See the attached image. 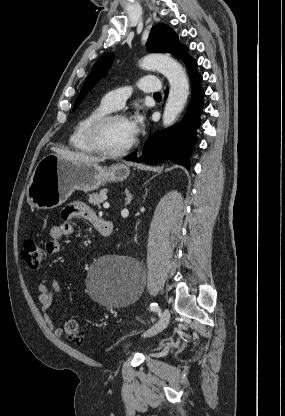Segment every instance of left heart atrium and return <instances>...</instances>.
<instances>
[{
  "mask_svg": "<svg viewBox=\"0 0 285 416\" xmlns=\"http://www.w3.org/2000/svg\"><path fill=\"white\" fill-rule=\"evenodd\" d=\"M142 119L139 115H134L129 119H126V128L128 136L131 140L135 139L140 131Z\"/></svg>",
  "mask_w": 285,
  "mask_h": 416,
  "instance_id": "1",
  "label": "left heart atrium"
}]
</instances>
